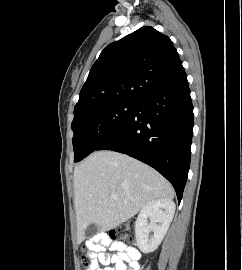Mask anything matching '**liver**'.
Masks as SVG:
<instances>
[{"mask_svg": "<svg viewBox=\"0 0 242 270\" xmlns=\"http://www.w3.org/2000/svg\"><path fill=\"white\" fill-rule=\"evenodd\" d=\"M74 193L78 243L86 238L90 224L100 232L109 231L132 218L148 202L174 198L171 184L153 168L107 150L92 153L75 167Z\"/></svg>", "mask_w": 242, "mask_h": 270, "instance_id": "1", "label": "liver"}]
</instances>
